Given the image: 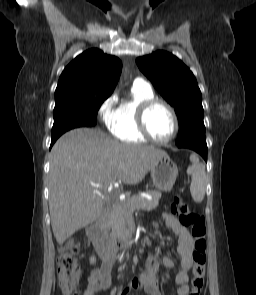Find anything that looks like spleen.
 I'll use <instances>...</instances> for the list:
<instances>
[{
  "label": "spleen",
  "mask_w": 256,
  "mask_h": 295,
  "mask_svg": "<svg viewBox=\"0 0 256 295\" xmlns=\"http://www.w3.org/2000/svg\"><path fill=\"white\" fill-rule=\"evenodd\" d=\"M191 166L188 167L187 173L191 175L190 192L193 200L200 203L205 196L207 178L205 166L199 162L196 154L190 156Z\"/></svg>",
  "instance_id": "3e777b00"
}]
</instances>
